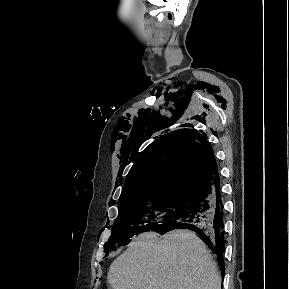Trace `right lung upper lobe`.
I'll use <instances>...</instances> for the list:
<instances>
[{
	"label": "right lung upper lobe",
	"instance_id": "1",
	"mask_svg": "<svg viewBox=\"0 0 289 289\" xmlns=\"http://www.w3.org/2000/svg\"><path fill=\"white\" fill-rule=\"evenodd\" d=\"M219 180L214 152L206 137L173 131L147 147L128 173L119 202L170 191L200 193Z\"/></svg>",
	"mask_w": 289,
	"mask_h": 289
}]
</instances>
